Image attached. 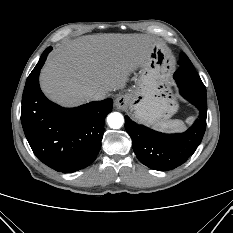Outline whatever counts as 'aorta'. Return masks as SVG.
<instances>
[{"instance_id":"762f6f07","label":"aorta","mask_w":233,"mask_h":233,"mask_svg":"<svg viewBox=\"0 0 233 233\" xmlns=\"http://www.w3.org/2000/svg\"><path fill=\"white\" fill-rule=\"evenodd\" d=\"M107 123L113 129H119L124 123V117L121 113L113 112L107 116Z\"/></svg>"}]
</instances>
